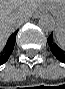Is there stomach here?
<instances>
[{"label": "stomach", "mask_w": 65, "mask_h": 89, "mask_svg": "<svg viewBox=\"0 0 65 89\" xmlns=\"http://www.w3.org/2000/svg\"><path fill=\"white\" fill-rule=\"evenodd\" d=\"M48 8L57 17L60 27L65 29V2L63 4H51Z\"/></svg>", "instance_id": "stomach-1"}]
</instances>
